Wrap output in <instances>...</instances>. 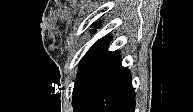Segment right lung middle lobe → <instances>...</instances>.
<instances>
[{
	"mask_svg": "<svg viewBox=\"0 0 193 112\" xmlns=\"http://www.w3.org/2000/svg\"><path fill=\"white\" fill-rule=\"evenodd\" d=\"M111 41V34L104 36L103 38L99 39L85 54L83 59L80 62L79 71L77 74V80L89 65V63L110 43ZM76 80V82H77ZM75 82V84H76Z\"/></svg>",
	"mask_w": 193,
	"mask_h": 112,
	"instance_id": "dd1d6c3e",
	"label": "right lung middle lobe"
}]
</instances>
